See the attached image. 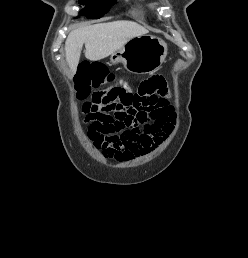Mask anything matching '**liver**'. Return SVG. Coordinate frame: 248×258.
<instances>
[{
    "label": "liver",
    "mask_w": 248,
    "mask_h": 258,
    "mask_svg": "<svg viewBox=\"0 0 248 258\" xmlns=\"http://www.w3.org/2000/svg\"><path fill=\"white\" fill-rule=\"evenodd\" d=\"M148 30L132 21H113L81 27L71 31L65 42L66 61L73 74L77 70L81 50L85 45V57L97 61L108 57L130 39L146 35Z\"/></svg>",
    "instance_id": "obj_1"
}]
</instances>
